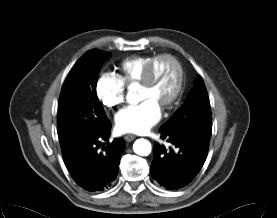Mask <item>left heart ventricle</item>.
I'll return each mask as SVG.
<instances>
[{"instance_id":"1","label":"left heart ventricle","mask_w":277,"mask_h":218,"mask_svg":"<svg viewBox=\"0 0 277 218\" xmlns=\"http://www.w3.org/2000/svg\"><path fill=\"white\" fill-rule=\"evenodd\" d=\"M176 76L177 72L173 64L167 60H160L155 67L152 84L140 88V97L152 98L160 104L173 89Z\"/></svg>"}]
</instances>
